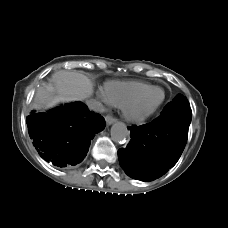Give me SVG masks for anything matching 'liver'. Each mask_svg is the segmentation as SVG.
<instances>
[{
	"label": "liver",
	"mask_w": 228,
	"mask_h": 228,
	"mask_svg": "<svg viewBox=\"0 0 228 228\" xmlns=\"http://www.w3.org/2000/svg\"><path fill=\"white\" fill-rule=\"evenodd\" d=\"M93 93V83L84 74L60 70L53 74L50 87H40L34 99L35 107H50L58 101L84 100Z\"/></svg>",
	"instance_id": "obj_1"
}]
</instances>
